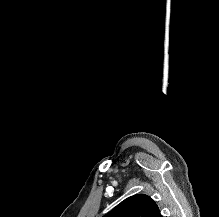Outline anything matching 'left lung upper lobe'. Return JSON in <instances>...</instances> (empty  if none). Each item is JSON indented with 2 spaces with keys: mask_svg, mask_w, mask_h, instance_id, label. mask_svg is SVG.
Masks as SVG:
<instances>
[{
  "mask_svg": "<svg viewBox=\"0 0 219 217\" xmlns=\"http://www.w3.org/2000/svg\"><path fill=\"white\" fill-rule=\"evenodd\" d=\"M104 217H162L155 201L149 196L137 194L131 196Z\"/></svg>",
  "mask_w": 219,
  "mask_h": 217,
  "instance_id": "5c2ea615",
  "label": "left lung upper lobe"
}]
</instances>
